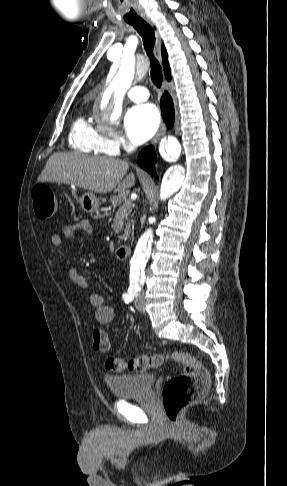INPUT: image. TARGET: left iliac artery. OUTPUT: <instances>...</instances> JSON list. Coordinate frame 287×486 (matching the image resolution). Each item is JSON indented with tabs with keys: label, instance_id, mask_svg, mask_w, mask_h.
Wrapping results in <instances>:
<instances>
[{
	"label": "left iliac artery",
	"instance_id": "left-iliac-artery-1",
	"mask_svg": "<svg viewBox=\"0 0 287 486\" xmlns=\"http://www.w3.org/2000/svg\"><path fill=\"white\" fill-rule=\"evenodd\" d=\"M131 298H132V297H130V296H129V297H127V298H125V301H127L128 299H131ZM126 303H128V302H126Z\"/></svg>",
	"mask_w": 287,
	"mask_h": 486
}]
</instances>
